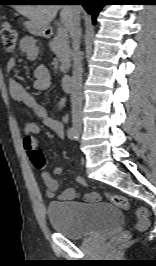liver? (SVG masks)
Returning a JSON list of instances; mask_svg holds the SVG:
<instances>
[{
	"instance_id": "6515ba94",
	"label": "liver",
	"mask_w": 156,
	"mask_h": 266,
	"mask_svg": "<svg viewBox=\"0 0 156 266\" xmlns=\"http://www.w3.org/2000/svg\"><path fill=\"white\" fill-rule=\"evenodd\" d=\"M61 9L60 19L69 31L72 23L71 5H21L17 11L38 27L47 28Z\"/></svg>"
}]
</instances>
